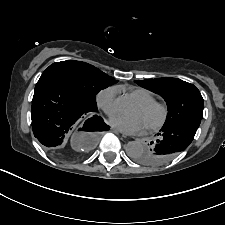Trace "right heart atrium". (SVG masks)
Instances as JSON below:
<instances>
[{
	"instance_id": "d8ad5b80",
	"label": "right heart atrium",
	"mask_w": 225,
	"mask_h": 225,
	"mask_svg": "<svg viewBox=\"0 0 225 225\" xmlns=\"http://www.w3.org/2000/svg\"><path fill=\"white\" fill-rule=\"evenodd\" d=\"M96 104L105 114L111 116L117 110V89L107 87L100 90L96 96Z\"/></svg>"
}]
</instances>
